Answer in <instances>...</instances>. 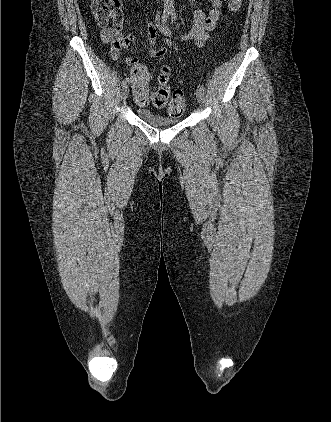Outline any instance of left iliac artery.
<instances>
[{
  "mask_svg": "<svg viewBox=\"0 0 331 422\" xmlns=\"http://www.w3.org/2000/svg\"><path fill=\"white\" fill-rule=\"evenodd\" d=\"M171 16H172V19H174V20H175V19H176V17H177V16H176V13H175L174 11H172V12H171ZM200 89H201L203 92H205V90H206V88H205V86H204V85H201V86H200Z\"/></svg>",
  "mask_w": 331,
  "mask_h": 422,
  "instance_id": "obj_1",
  "label": "left iliac artery"
}]
</instances>
